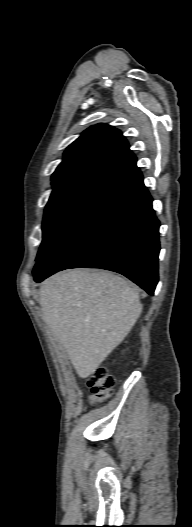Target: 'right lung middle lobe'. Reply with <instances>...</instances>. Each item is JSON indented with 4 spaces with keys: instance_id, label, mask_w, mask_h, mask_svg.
Instances as JSON below:
<instances>
[{
    "instance_id": "1",
    "label": "right lung middle lobe",
    "mask_w": 192,
    "mask_h": 527,
    "mask_svg": "<svg viewBox=\"0 0 192 527\" xmlns=\"http://www.w3.org/2000/svg\"><path fill=\"white\" fill-rule=\"evenodd\" d=\"M99 179H85L54 187L43 219V240L36 261H40L55 245L65 230L106 184Z\"/></svg>"
}]
</instances>
